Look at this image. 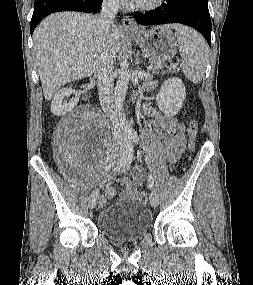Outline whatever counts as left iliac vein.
<instances>
[{"label":"left iliac vein","mask_w":253,"mask_h":285,"mask_svg":"<svg viewBox=\"0 0 253 285\" xmlns=\"http://www.w3.org/2000/svg\"><path fill=\"white\" fill-rule=\"evenodd\" d=\"M150 203L153 207H157L159 204V198L155 191H152L150 194Z\"/></svg>","instance_id":"1"}]
</instances>
